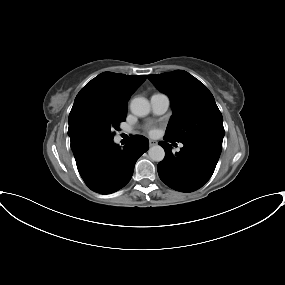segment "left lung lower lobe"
I'll use <instances>...</instances> for the list:
<instances>
[{
  "mask_svg": "<svg viewBox=\"0 0 285 285\" xmlns=\"http://www.w3.org/2000/svg\"><path fill=\"white\" fill-rule=\"evenodd\" d=\"M165 141L173 142L167 137ZM165 150V158L158 164L160 179L169 187L192 192L202 187L212 176L222 150V144L213 140L183 142L176 155L167 142L159 143Z\"/></svg>",
  "mask_w": 285,
  "mask_h": 285,
  "instance_id": "obj_1",
  "label": "left lung lower lobe"
}]
</instances>
